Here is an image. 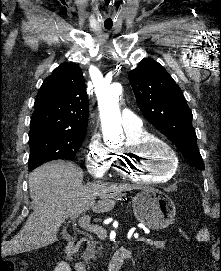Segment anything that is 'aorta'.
<instances>
[{
	"mask_svg": "<svg viewBox=\"0 0 221 271\" xmlns=\"http://www.w3.org/2000/svg\"><path fill=\"white\" fill-rule=\"evenodd\" d=\"M121 94V84L114 83L99 96L100 117L105 132L111 130L120 133L122 131L121 114L118 105Z\"/></svg>",
	"mask_w": 221,
	"mask_h": 271,
	"instance_id": "obj_1",
	"label": "aorta"
}]
</instances>
